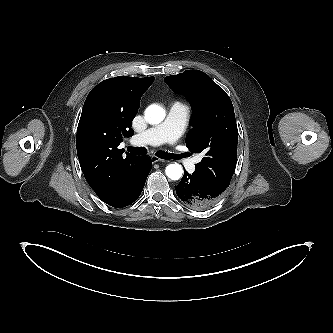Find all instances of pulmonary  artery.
Returning a JSON list of instances; mask_svg holds the SVG:
<instances>
[{
    "label": "pulmonary artery",
    "instance_id": "pulmonary-artery-1",
    "mask_svg": "<svg viewBox=\"0 0 333 333\" xmlns=\"http://www.w3.org/2000/svg\"><path fill=\"white\" fill-rule=\"evenodd\" d=\"M190 114V108L188 105L176 101L174 102L165 118V120L140 134H137L132 143L135 145H160L163 143H174L183 134L188 118ZM188 171L195 170V161L187 160L184 162Z\"/></svg>",
    "mask_w": 333,
    "mask_h": 333
}]
</instances>
